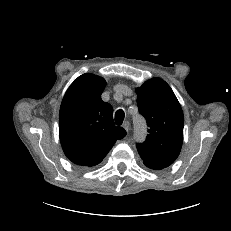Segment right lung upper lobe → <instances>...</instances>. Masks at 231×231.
<instances>
[{
  "mask_svg": "<svg viewBox=\"0 0 231 231\" xmlns=\"http://www.w3.org/2000/svg\"><path fill=\"white\" fill-rule=\"evenodd\" d=\"M106 81L93 74L79 76L68 88L59 113V136L69 160L81 166L99 164L115 142L126 136L116 127L113 109L101 94Z\"/></svg>",
  "mask_w": 231,
  "mask_h": 231,
  "instance_id": "1",
  "label": "right lung upper lobe"
}]
</instances>
